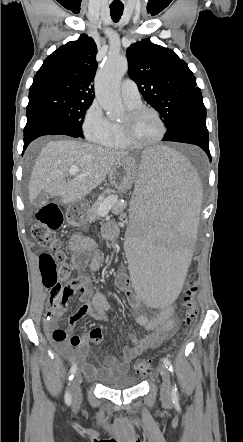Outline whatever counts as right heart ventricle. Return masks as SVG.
Instances as JSON below:
<instances>
[{
    "instance_id": "e07e8e85",
    "label": "right heart ventricle",
    "mask_w": 243,
    "mask_h": 442,
    "mask_svg": "<svg viewBox=\"0 0 243 442\" xmlns=\"http://www.w3.org/2000/svg\"><path fill=\"white\" fill-rule=\"evenodd\" d=\"M129 109L135 108L140 104L132 105L126 103ZM99 144L115 149H126L128 146L124 143L121 132H120V122L112 121L110 122V128L108 133L98 141Z\"/></svg>"
}]
</instances>
